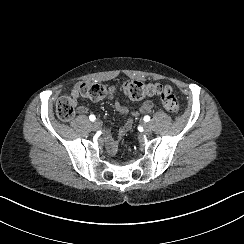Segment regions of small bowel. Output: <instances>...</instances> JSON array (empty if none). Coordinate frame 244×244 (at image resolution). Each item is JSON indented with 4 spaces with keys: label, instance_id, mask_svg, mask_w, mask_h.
Returning a JSON list of instances; mask_svg holds the SVG:
<instances>
[{
    "label": "small bowel",
    "instance_id": "1",
    "mask_svg": "<svg viewBox=\"0 0 244 244\" xmlns=\"http://www.w3.org/2000/svg\"><path fill=\"white\" fill-rule=\"evenodd\" d=\"M72 90H76L79 93V89L78 86H75ZM74 103V105H76L77 100L76 101H72ZM115 109L117 110V112L123 116L128 115L131 113L130 109L123 103L116 101L115 104ZM153 108V103L151 100H145L144 102L141 103V105L138 108L137 112H132L133 114L136 113H148L152 110ZM77 111L80 115H86L88 113V108L86 106L80 105L77 107ZM132 127V121L129 120L127 121L118 131V137H123ZM112 139L108 140L111 141ZM112 143V142H110Z\"/></svg>",
    "mask_w": 244,
    "mask_h": 244
}]
</instances>
